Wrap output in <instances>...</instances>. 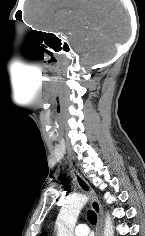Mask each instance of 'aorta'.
I'll return each mask as SVG.
<instances>
[{"instance_id": "aorta-1", "label": "aorta", "mask_w": 145, "mask_h": 236, "mask_svg": "<svg viewBox=\"0 0 145 236\" xmlns=\"http://www.w3.org/2000/svg\"><path fill=\"white\" fill-rule=\"evenodd\" d=\"M88 201L86 195H76L70 198L60 209L57 217V236H74L77 217ZM103 236H114L113 221L109 214L106 215Z\"/></svg>"}]
</instances>
